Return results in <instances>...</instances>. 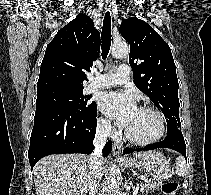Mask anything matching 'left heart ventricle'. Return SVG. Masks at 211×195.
Instances as JSON below:
<instances>
[{"instance_id":"b2bd125f","label":"left heart ventricle","mask_w":211,"mask_h":195,"mask_svg":"<svg viewBox=\"0 0 211 195\" xmlns=\"http://www.w3.org/2000/svg\"><path fill=\"white\" fill-rule=\"evenodd\" d=\"M159 118L151 111L137 109L130 123L128 131L138 139H149L160 131Z\"/></svg>"}]
</instances>
